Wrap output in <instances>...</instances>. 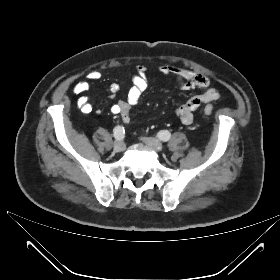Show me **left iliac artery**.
I'll return each mask as SVG.
<instances>
[{"label":"left iliac artery","instance_id":"left-iliac-artery-1","mask_svg":"<svg viewBox=\"0 0 280 280\" xmlns=\"http://www.w3.org/2000/svg\"><path fill=\"white\" fill-rule=\"evenodd\" d=\"M158 138L164 142L168 141L171 137V133L167 130L160 131L157 134Z\"/></svg>","mask_w":280,"mask_h":280}]
</instances>
